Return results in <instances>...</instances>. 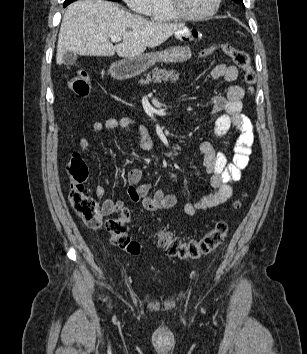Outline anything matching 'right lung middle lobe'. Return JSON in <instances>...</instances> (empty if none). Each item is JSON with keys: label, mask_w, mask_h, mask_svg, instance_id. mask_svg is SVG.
<instances>
[{"label": "right lung middle lobe", "mask_w": 307, "mask_h": 354, "mask_svg": "<svg viewBox=\"0 0 307 354\" xmlns=\"http://www.w3.org/2000/svg\"><path fill=\"white\" fill-rule=\"evenodd\" d=\"M73 1H76V0H65L64 7H66L68 4L72 3ZM110 1L119 2L121 0H110Z\"/></svg>", "instance_id": "1"}]
</instances>
